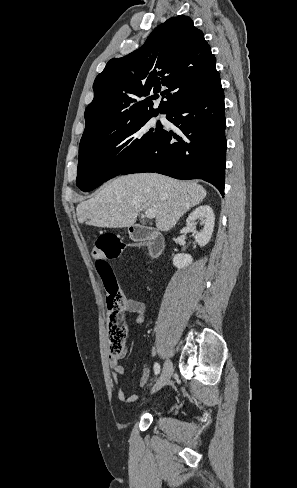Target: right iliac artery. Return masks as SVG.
Wrapping results in <instances>:
<instances>
[{
	"label": "right iliac artery",
	"instance_id": "obj_1",
	"mask_svg": "<svg viewBox=\"0 0 297 488\" xmlns=\"http://www.w3.org/2000/svg\"><path fill=\"white\" fill-rule=\"evenodd\" d=\"M159 372H160V365L156 362L154 364V373H155V375H157V374H159Z\"/></svg>",
	"mask_w": 297,
	"mask_h": 488
}]
</instances>
